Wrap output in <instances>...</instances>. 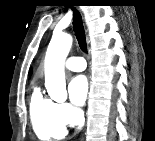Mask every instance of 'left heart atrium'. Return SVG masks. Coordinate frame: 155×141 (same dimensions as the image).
Returning <instances> with one entry per match:
<instances>
[{"label": "left heart atrium", "instance_id": "left-heart-atrium-1", "mask_svg": "<svg viewBox=\"0 0 155 141\" xmlns=\"http://www.w3.org/2000/svg\"><path fill=\"white\" fill-rule=\"evenodd\" d=\"M88 90V81L84 75L74 77L69 84L71 101L77 106L83 105L87 99Z\"/></svg>", "mask_w": 155, "mask_h": 141}]
</instances>
